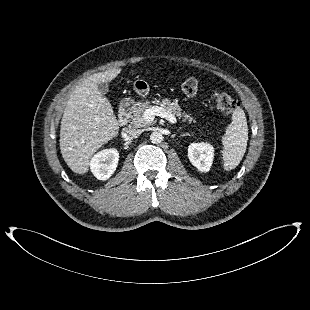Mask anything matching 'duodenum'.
Returning <instances> with one entry per match:
<instances>
[{
    "mask_svg": "<svg viewBox=\"0 0 310 310\" xmlns=\"http://www.w3.org/2000/svg\"><path fill=\"white\" fill-rule=\"evenodd\" d=\"M132 112V103L130 100H125L121 103L118 114V122L120 126L128 123Z\"/></svg>",
    "mask_w": 310,
    "mask_h": 310,
    "instance_id": "410a0bca",
    "label": "duodenum"
}]
</instances>
